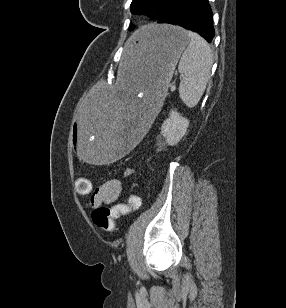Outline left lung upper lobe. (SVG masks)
I'll list each match as a JSON object with an SVG mask.
<instances>
[{"mask_svg":"<svg viewBox=\"0 0 286 308\" xmlns=\"http://www.w3.org/2000/svg\"><path fill=\"white\" fill-rule=\"evenodd\" d=\"M172 0H133L131 3V12L133 14H147L153 19H158L164 9ZM133 29V25H130Z\"/></svg>","mask_w":286,"mask_h":308,"instance_id":"left-lung-upper-lobe-1","label":"left lung upper lobe"}]
</instances>
